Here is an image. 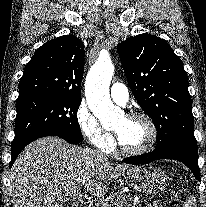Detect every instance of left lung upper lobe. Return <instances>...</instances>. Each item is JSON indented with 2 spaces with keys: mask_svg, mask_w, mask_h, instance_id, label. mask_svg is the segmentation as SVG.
Listing matches in <instances>:
<instances>
[{
  "mask_svg": "<svg viewBox=\"0 0 206 207\" xmlns=\"http://www.w3.org/2000/svg\"><path fill=\"white\" fill-rule=\"evenodd\" d=\"M128 84L157 129L156 151L197 147L188 76L169 44L140 34L117 46Z\"/></svg>",
  "mask_w": 206,
  "mask_h": 207,
  "instance_id": "1",
  "label": "left lung upper lobe"
}]
</instances>
